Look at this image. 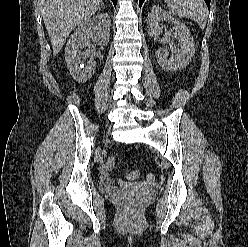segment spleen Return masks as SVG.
Here are the masks:
<instances>
[{
  "mask_svg": "<svg viewBox=\"0 0 248 247\" xmlns=\"http://www.w3.org/2000/svg\"><path fill=\"white\" fill-rule=\"evenodd\" d=\"M172 13L179 17L191 18L204 28L207 23V7L204 0H165Z\"/></svg>",
  "mask_w": 248,
  "mask_h": 247,
  "instance_id": "obj_1",
  "label": "spleen"
}]
</instances>
